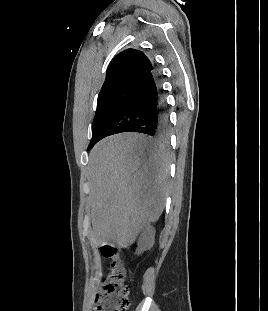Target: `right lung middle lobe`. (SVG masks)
<instances>
[{
    "label": "right lung middle lobe",
    "instance_id": "right-lung-middle-lobe-1",
    "mask_svg": "<svg viewBox=\"0 0 268 311\" xmlns=\"http://www.w3.org/2000/svg\"><path fill=\"white\" fill-rule=\"evenodd\" d=\"M136 84H128L98 98L96 114L92 123L90 150L102 137L104 130L127 104L133 95Z\"/></svg>",
    "mask_w": 268,
    "mask_h": 311
}]
</instances>
